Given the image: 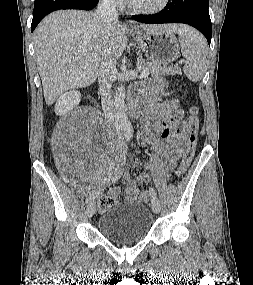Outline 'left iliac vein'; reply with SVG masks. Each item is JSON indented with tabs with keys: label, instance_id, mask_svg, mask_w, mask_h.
<instances>
[{
	"label": "left iliac vein",
	"instance_id": "obj_1",
	"mask_svg": "<svg viewBox=\"0 0 253 285\" xmlns=\"http://www.w3.org/2000/svg\"><path fill=\"white\" fill-rule=\"evenodd\" d=\"M151 208L154 213H159L161 209L160 202L157 198H152L151 200Z\"/></svg>",
	"mask_w": 253,
	"mask_h": 285
}]
</instances>
